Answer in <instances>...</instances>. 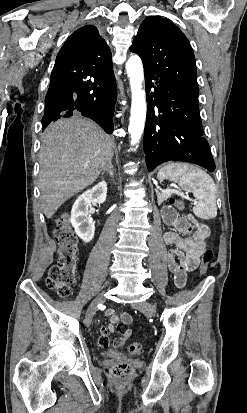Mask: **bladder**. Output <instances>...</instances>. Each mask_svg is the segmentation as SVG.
<instances>
[{"label":"bladder","mask_w":247,"mask_h":413,"mask_svg":"<svg viewBox=\"0 0 247 413\" xmlns=\"http://www.w3.org/2000/svg\"><path fill=\"white\" fill-rule=\"evenodd\" d=\"M106 355H109L113 358H123L124 353L122 351H105Z\"/></svg>","instance_id":"obj_1"}]
</instances>
